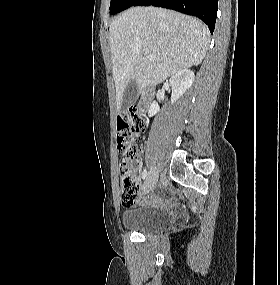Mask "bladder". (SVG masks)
I'll return each mask as SVG.
<instances>
[{
  "instance_id": "31cf9c89",
  "label": "bladder",
  "mask_w": 280,
  "mask_h": 285,
  "mask_svg": "<svg viewBox=\"0 0 280 285\" xmlns=\"http://www.w3.org/2000/svg\"><path fill=\"white\" fill-rule=\"evenodd\" d=\"M171 222L172 217L169 214L147 205L129 209L122 215L124 228L144 234L158 232Z\"/></svg>"
}]
</instances>
